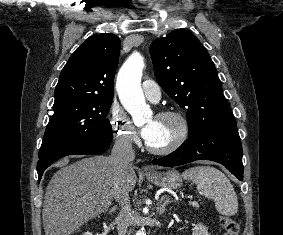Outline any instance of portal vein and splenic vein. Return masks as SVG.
I'll return each instance as SVG.
<instances>
[{"label":"portal vein and splenic vein","mask_w":283,"mask_h":235,"mask_svg":"<svg viewBox=\"0 0 283 235\" xmlns=\"http://www.w3.org/2000/svg\"><path fill=\"white\" fill-rule=\"evenodd\" d=\"M190 204L197 205V203L195 201L190 202Z\"/></svg>","instance_id":"1"}]
</instances>
